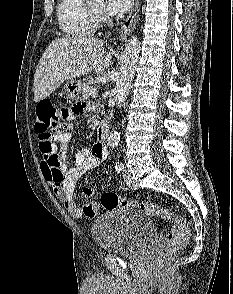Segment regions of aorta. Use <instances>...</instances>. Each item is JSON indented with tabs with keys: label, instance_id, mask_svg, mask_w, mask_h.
Here are the masks:
<instances>
[{
	"label": "aorta",
	"instance_id": "1",
	"mask_svg": "<svg viewBox=\"0 0 233 294\" xmlns=\"http://www.w3.org/2000/svg\"><path fill=\"white\" fill-rule=\"evenodd\" d=\"M100 1V0H96ZM140 53V43L137 37L128 40L121 56L120 68L116 76L114 89L117 107L121 108L127 98L129 88L134 79L136 65ZM108 143L112 147H117L120 143V134L113 130L108 135Z\"/></svg>",
	"mask_w": 233,
	"mask_h": 294
}]
</instances>
